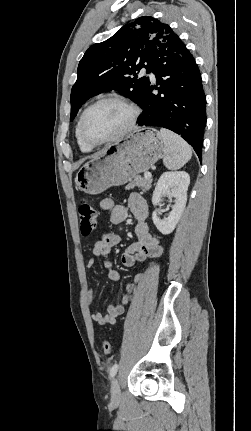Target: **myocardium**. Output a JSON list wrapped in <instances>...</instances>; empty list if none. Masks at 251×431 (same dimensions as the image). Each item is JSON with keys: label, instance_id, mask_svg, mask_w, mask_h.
Masks as SVG:
<instances>
[{"label": "myocardium", "instance_id": "obj_1", "mask_svg": "<svg viewBox=\"0 0 251 431\" xmlns=\"http://www.w3.org/2000/svg\"><path fill=\"white\" fill-rule=\"evenodd\" d=\"M105 102H116L119 103L123 106H125L129 111H130V118L129 121L127 123V125L118 133H116L115 135L106 138L104 140L101 141H92L90 140L86 134H85V120L87 115L90 113V111L92 109H94L96 106L105 103ZM139 117V108L137 107V105L135 103H133L132 101H130L129 99L122 97L120 95H115V94H110V95H105L99 99H97L96 101H94L92 104H90L81 114L80 120H79V134L80 137L82 139V141L90 146V147H98L104 144H108L114 141H117L121 138H123L124 136H126L128 133H130L135 125L136 122L138 120Z\"/></svg>", "mask_w": 251, "mask_h": 431}]
</instances>
